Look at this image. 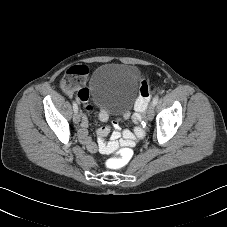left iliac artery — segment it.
<instances>
[{"instance_id":"left-iliac-artery-1","label":"left iliac artery","mask_w":227,"mask_h":227,"mask_svg":"<svg viewBox=\"0 0 227 227\" xmlns=\"http://www.w3.org/2000/svg\"><path fill=\"white\" fill-rule=\"evenodd\" d=\"M158 100H159V96L156 95L153 99V103L156 105L158 103Z\"/></svg>"}]
</instances>
